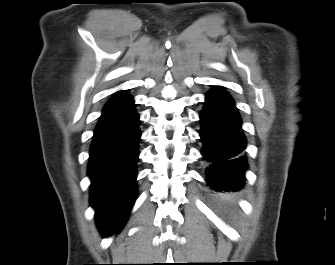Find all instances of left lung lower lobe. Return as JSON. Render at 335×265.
<instances>
[{
    "instance_id": "obj_1",
    "label": "left lung lower lobe",
    "mask_w": 335,
    "mask_h": 265,
    "mask_svg": "<svg viewBox=\"0 0 335 265\" xmlns=\"http://www.w3.org/2000/svg\"><path fill=\"white\" fill-rule=\"evenodd\" d=\"M200 121L210 188L220 193L239 191L247 164L246 139L234 101L222 87L215 86L206 95Z\"/></svg>"
}]
</instances>
